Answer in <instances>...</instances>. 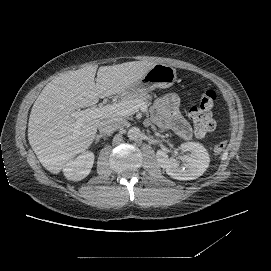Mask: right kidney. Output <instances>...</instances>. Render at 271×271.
I'll list each match as a JSON object with an SVG mask.
<instances>
[{
	"label": "right kidney",
	"mask_w": 271,
	"mask_h": 271,
	"mask_svg": "<svg viewBox=\"0 0 271 271\" xmlns=\"http://www.w3.org/2000/svg\"><path fill=\"white\" fill-rule=\"evenodd\" d=\"M94 155L90 152L80 155L77 159L66 164L63 169L65 175L71 180H82L86 177L93 166Z\"/></svg>",
	"instance_id": "1"
}]
</instances>
